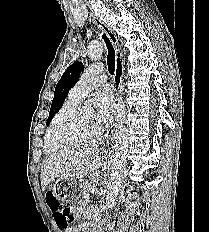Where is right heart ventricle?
I'll list each match as a JSON object with an SVG mask.
<instances>
[{
  "label": "right heart ventricle",
  "mask_w": 209,
  "mask_h": 232,
  "mask_svg": "<svg viewBox=\"0 0 209 232\" xmlns=\"http://www.w3.org/2000/svg\"><path fill=\"white\" fill-rule=\"evenodd\" d=\"M79 101H76L74 99H72L70 96L69 98L65 101V103L62 105V107L58 110V112L56 113V115L54 116L48 130L46 133V137H45V149L48 152H54L57 151L59 149H61L62 147L65 146V144H60L57 143L53 140L52 138V134H51V126H53L54 124H56L60 118L70 109H72L73 107H75L78 104Z\"/></svg>",
  "instance_id": "1"
}]
</instances>
